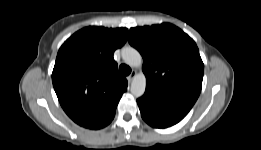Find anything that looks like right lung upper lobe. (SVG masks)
I'll return each instance as SVG.
<instances>
[{
  "label": "right lung upper lobe",
  "instance_id": "right-lung-upper-lobe-1",
  "mask_svg": "<svg viewBox=\"0 0 261 150\" xmlns=\"http://www.w3.org/2000/svg\"><path fill=\"white\" fill-rule=\"evenodd\" d=\"M126 28L90 26L68 38L58 51L52 82L58 100L77 124L89 127L116 108L127 90L113 53L127 39Z\"/></svg>",
  "mask_w": 261,
  "mask_h": 150
}]
</instances>
